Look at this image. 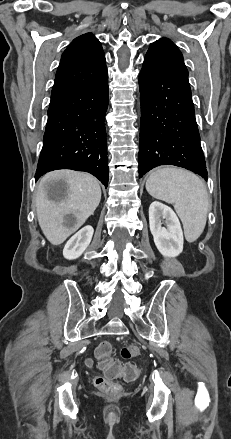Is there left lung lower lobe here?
I'll return each instance as SVG.
<instances>
[{"mask_svg": "<svg viewBox=\"0 0 231 439\" xmlns=\"http://www.w3.org/2000/svg\"><path fill=\"white\" fill-rule=\"evenodd\" d=\"M139 87V176L160 165H175L207 180L188 72L166 51L150 47Z\"/></svg>", "mask_w": 231, "mask_h": 439, "instance_id": "left-lung-lower-lobe-1", "label": "left lung lower lobe"}]
</instances>
